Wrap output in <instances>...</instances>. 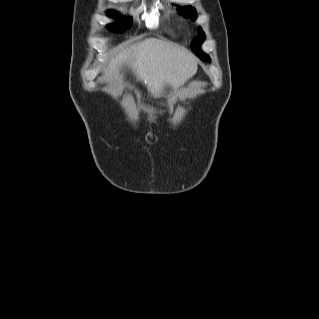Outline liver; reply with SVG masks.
Listing matches in <instances>:
<instances>
[{
  "label": "liver",
  "instance_id": "liver-1",
  "mask_svg": "<svg viewBox=\"0 0 319 319\" xmlns=\"http://www.w3.org/2000/svg\"><path fill=\"white\" fill-rule=\"evenodd\" d=\"M197 58L179 45L149 38L123 49L104 68V75L112 77L121 65H128L138 80L147 85L155 97L165 86L177 88L197 71Z\"/></svg>",
  "mask_w": 319,
  "mask_h": 319
}]
</instances>
